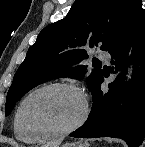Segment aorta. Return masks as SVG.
Instances as JSON below:
<instances>
[{"label":"aorta","instance_id":"762f6f07","mask_svg":"<svg viewBox=\"0 0 145 147\" xmlns=\"http://www.w3.org/2000/svg\"><path fill=\"white\" fill-rule=\"evenodd\" d=\"M132 71H133V67H132V65H130L128 68V73L126 75V82H128L130 80L131 75H132Z\"/></svg>","mask_w":145,"mask_h":147}]
</instances>
